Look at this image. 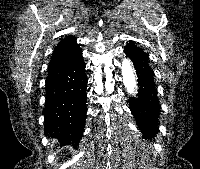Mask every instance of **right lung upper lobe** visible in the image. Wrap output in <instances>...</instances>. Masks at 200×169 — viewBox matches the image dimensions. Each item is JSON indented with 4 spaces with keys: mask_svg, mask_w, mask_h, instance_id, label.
I'll list each match as a JSON object with an SVG mask.
<instances>
[{
    "mask_svg": "<svg viewBox=\"0 0 200 169\" xmlns=\"http://www.w3.org/2000/svg\"><path fill=\"white\" fill-rule=\"evenodd\" d=\"M81 53L75 37H67L61 40L54 49L49 67L66 63Z\"/></svg>",
    "mask_w": 200,
    "mask_h": 169,
    "instance_id": "cb5924a9",
    "label": "right lung upper lobe"
}]
</instances>
